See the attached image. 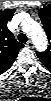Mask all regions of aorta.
Instances as JSON below:
<instances>
[{
  "label": "aorta",
  "instance_id": "1",
  "mask_svg": "<svg viewBox=\"0 0 51 101\" xmlns=\"http://www.w3.org/2000/svg\"><path fill=\"white\" fill-rule=\"evenodd\" d=\"M22 30L30 37L38 51L47 48V37L41 26L33 19H28L22 24Z\"/></svg>",
  "mask_w": 51,
  "mask_h": 101
}]
</instances>
